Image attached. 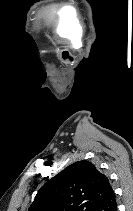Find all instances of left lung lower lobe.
Returning a JSON list of instances; mask_svg holds the SVG:
<instances>
[{"label": "left lung lower lobe", "mask_w": 133, "mask_h": 211, "mask_svg": "<svg viewBox=\"0 0 133 211\" xmlns=\"http://www.w3.org/2000/svg\"><path fill=\"white\" fill-rule=\"evenodd\" d=\"M92 211H117L114 191L112 190Z\"/></svg>", "instance_id": "1"}]
</instances>
